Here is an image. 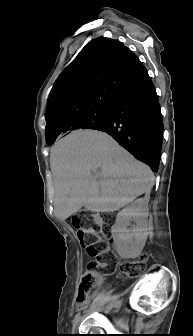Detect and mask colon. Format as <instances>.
<instances>
[{"label":"colon","instance_id":"colon-1","mask_svg":"<svg viewBox=\"0 0 193 336\" xmlns=\"http://www.w3.org/2000/svg\"><path fill=\"white\" fill-rule=\"evenodd\" d=\"M113 218L109 214L95 212H81L72 218V226L76 229L77 238L87 253L97 260L106 263L111 259ZM147 262V255L124 262L121 266L122 272L129 278L141 275ZM100 275L97 272V264H89L86 273L83 275L77 303L84 305L89 293L98 286Z\"/></svg>","mask_w":193,"mask_h":336}]
</instances>
